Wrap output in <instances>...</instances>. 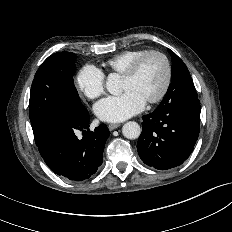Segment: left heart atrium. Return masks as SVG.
<instances>
[{
  "label": "left heart atrium",
  "instance_id": "left-heart-atrium-1",
  "mask_svg": "<svg viewBox=\"0 0 232 232\" xmlns=\"http://www.w3.org/2000/svg\"><path fill=\"white\" fill-rule=\"evenodd\" d=\"M146 101L132 90L118 96H109L96 103L97 117L105 122H121L143 110Z\"/></svg>",
  "mask_w": 232,
  "mask_h": 232
}]
</instances>
